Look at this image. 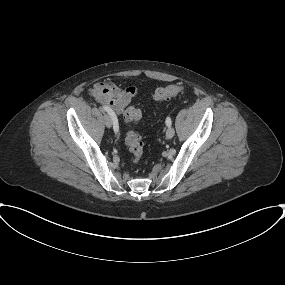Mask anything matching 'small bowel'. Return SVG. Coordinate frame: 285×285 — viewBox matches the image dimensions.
I'll return each mask as SVG.
<instances>
[{
  "instance_id": "obj_1",
  "label": "small bowel",
  "mask_w": 285,
  "mask_h": 285,
  "mask_svg": "<svg viewBox=\"0 0 285 285\" xmlns=\"http://www.w3.org/2000/svg\"><path fill=\"white\" fill-rule=\"evenodd\" d=\"M89 94L117 116L123 112L132 98L136 96L137 88L135 86L122 88L113 81H103L95 83L90 88Z\"/></svg>"
}]
</instances>
